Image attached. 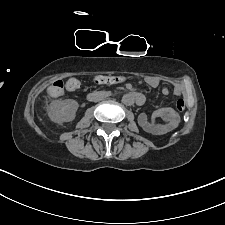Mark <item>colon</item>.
<instances>
[{
    "instance_id": "5ec220e1",
    "label": "colon",
    "mask_w": 225,
    "mask_h": 225,
    "mask_svg": "<svg viewBox=\"0 0 225 225\" xmlns=\"http://www.w3.org/2000/svg\"><path fill=\"white\" fill-rule=\"evenodd\" d=\"M126 80V77L123 76H112V75H98L94 78V83L96 84H116L120 83ZM81 87V83L79 80L75 78L69 79L66 84H64L62 81H56L54 82L49 88H48V94L51 97H59L63 90L66 89L68 92H74L78 90ZM176 107L178 111H183L186 107L185 100L184 99H178L176 103Z\"/></svg>"
}]
</instances>
